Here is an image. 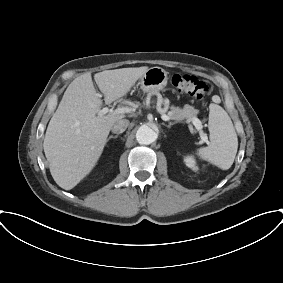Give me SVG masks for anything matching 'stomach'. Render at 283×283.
<instances>
[{
	"label": "stomach",
	"instance_id": "stomach-1",
	"mask_svg": "<svg viewBox=\"0 0 283 283\" xmlns=\"http://www.w3.org/2000/svg\"><path fill=\"white\" fill-rule=\"evenodd\" d=\"M168 82V72L161 67L149 68L139 79L141 90L148 94H154L165 88Z\"/></svg>",
	"mask_w": 283,
	"mask_h": 283
}]
</instances>
